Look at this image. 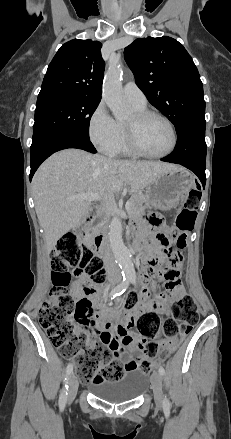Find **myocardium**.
Wrapping results in <instances>:
<instances>
[{"mask_svg":"<svg viewBox=\"0 0 231 439\" xmlns=\"http://www.w3.org/2000/svg\"><path fill=\"white\" fill-rule=\"evenodd\" d=\"M149 117H158V118L162 119L163 121L166 122V124L170 128V131L172 134V143H171V146L169 147V149L163 153H159V154L147 153L140 147V145L137 141V136H136L137 126ZM125 131H126L127 146L129 148L130 152L133 153L134 155H137V156L143 157V158H148V159L164 158V157L170 155L176 149L177 144H178V134H177V130H176L174 123L172 122V120L168 116H166L165 114H163L159 111H156V110L144 109L141 111H136L134 113L133 123L126 124Z\"/></svg>","mask_w":231,"mask_h":439,"instance_id":"obj_1","label":"myocardium"}]
</instances>
